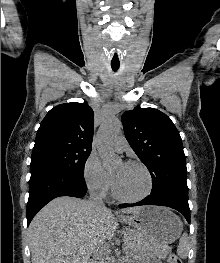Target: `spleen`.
Wrapping results in <instances>:
<instances>
[{"mask_svg":"<svg viewBox=\"0 0 220 263\" xmlns=\"http://www.w3.org/2000/svg\"><path fill=\"white\" fill-rule=\"evenodd\" d=\"M189 250V241L187 233H184L180 238L177 253L180 257L185 258Z\"/></svg>","mask_w":220,"mask_h":263,"instance_id":"1","label":"spleen"}]
</instances>
